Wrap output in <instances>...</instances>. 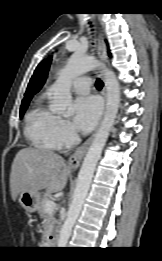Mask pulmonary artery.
<instances>
[{"label": "pulmonary artery", "mask_w": 162, "mask_h": 261, "mask_svg": "<svg viewBox=\"0 0 162 261\" xmlns=\"http://www.w3.org/2000/svg\"><path fill=\"white\" fill-rule=\"evenodd\" d=\"M91 83L92 79L89 76H80L71 82V87L78 94H86Z\"/></svg>", "instance_id": "e3ab8cb5"}]
</instances>
